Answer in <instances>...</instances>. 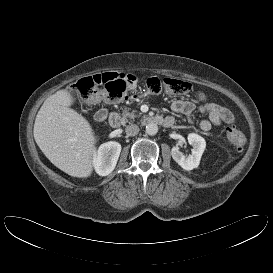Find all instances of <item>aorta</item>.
I'll return each mask as SVG.
<instances>
[{
	"instance_id": "aorta-1",
	"label": "aorta",
	"mask_w": 273,
	"mask_h": 273,
	"mask_svg": "<svg viewBox=\"0 0 273 273\" xmlns=\"http://www.w3.org/2000/svg\"><path fill=\"white\" fill-rule=\"evenodd\" d=\"M158 132V126L155 123H149L146 125V133L150 136L156 135Z\"/></svg>"
}]
</instances>
